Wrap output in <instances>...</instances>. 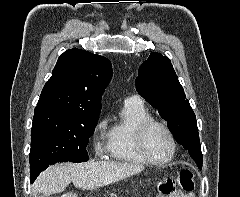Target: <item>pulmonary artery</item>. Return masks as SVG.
<instances>
[{
	"instance_id": "pulmonary-artery-1",
	"label": "pulmonary artery",
	"mask_w": 240,
	"mask_h": 197,
	"mask_svg": "<svg viewBox=\"0 0 240 197\" xmlns=\"http://www.w3.org/2000/svg\"><path fill=\"white\" fill-rule=\"evenodd\" d=\"M124 103L143 104L142 99L138 95H132L125 98Z\"/></svg>"
}]
</instances>
